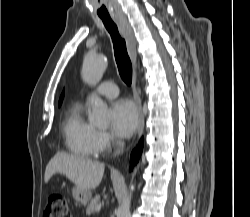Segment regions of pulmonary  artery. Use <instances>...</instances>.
<instances>
[{"label":"pulmonary artery","instance_id":"pulmonary-artery-1","mask_svg":"<svg viewBox=\"0 0 250 217\" xmlns=\"http://www.w3.org/2000/svg\"><path fill=\"white\" fill-rule=\"evenodd\" d=\"M97 93L107 98H115L119 94V89L112 82H103L97 89Z\"/></svg>","mask_w":250,"mask_h":217}]
</instances>
